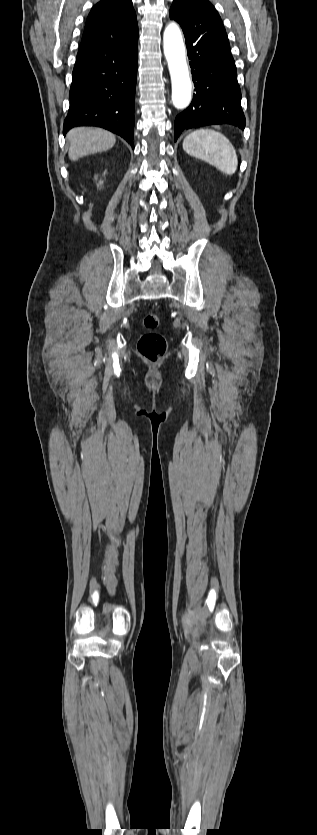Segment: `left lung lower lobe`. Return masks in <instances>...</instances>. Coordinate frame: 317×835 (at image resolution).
I'll list each match as a JSON object with an SVG mask.
<instances>
[{"label": "left lung lower lobe", "mask_w": 317, "mask_h": 835, "mask_svg": "<svg viewBox=\"0 0 317 835\" xmlns=\"http://www.w3.org/2000/svg\"><path fill=\"white\" fill-rule=\"evenodd\" d=\"M177 10L187 16L182 27L195 86L191 105L174 124V140L183 130L215 124L245 128L241 91L229 41L219 14L185 7Z\"/></svg>", "instance_id": "0a47b994"}]
</instances>
